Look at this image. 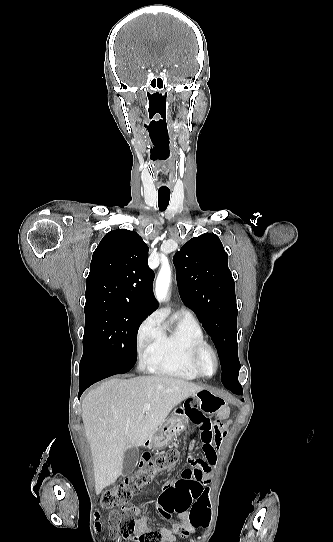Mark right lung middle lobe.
I'll use <instances>...</instances> for the list:
<instances>
[{
    "mask_svg": "<svg viewBox=\"0 0 333 542\" xmlns=\"http://www.w3.org/2000/svg\"><path fill=\"white\" fill-rule=\"evenodd\" d=\"M83 362L98 357L129 371L137 360V332L150 314L123 307H85Z\"/></svg>",
    "mask_w": 333,
    "mask_h": 542,
    "instance_id": "dd1d6c3e",
    "label": "right lung middle lobe"
}]
</instances>
